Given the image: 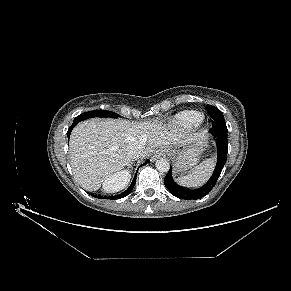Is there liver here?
I'll return each mask as SVG.
<instances>
[{
	"label": "liver",
	"instance_id": "liver-1",
	"mask_svg": "<svg viewBox=\"0 0 291 291\" xmlns=\"http://www.w3.org/2000/svg\"><path fill=\"white\" fill-rule=\"evenodd\" d=\"M187 141L175 130H168L157 122L90 119L80 122L71 133L70 163L81 187L96 191L107 178L129 164L131 147L142 146V157H146L155 148L184 145Z\"/></svg>",
	"mask_w": 291,
	"mask_h": 291
}]
</instances>
